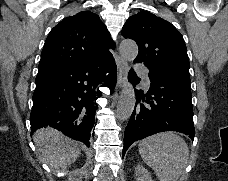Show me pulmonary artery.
<instances>
[{
  "mask_svg": "<svg viewBox=\"0 0 228 181\" xmlns=\"http://www.w3.org/2000/svg\"><path fill=\"white\" fill-rule=\"evenodd\" d=\"M136 71H145V66H136ZM148 85V82H146Z\"/></svg>",
  "mask_w": 228,
  "mask_h": 181,
  "instance_id": "obj_1",
  "label": "pulmonary artery"
}]
</instances>
